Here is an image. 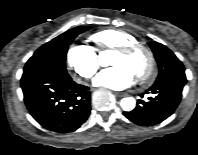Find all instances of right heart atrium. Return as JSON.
Masks as SVG:
<instances>
[{
	"mask_svg": "<svg viewBox=\"0 0 198 155\" xmlns=\"http://www.w3.org/2000/svg\"><path fill=\"white\" fill-rule=\"evenodd\" d=\"M68 69L74 76L91 78L98 69V55L87 44L71 45L66 54Z\"/></svg>",
	"mask_w": 198,
	"mask_h": 155,
	"instance_id": "d8ad5b80",
	"label": "right heart atrium"
}]
</instances>
